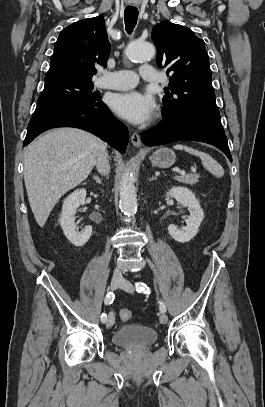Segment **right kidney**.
Instances as JSON below:
<instances>
[{
  "label": "right kidney",
  "instance_id": "right-kidney-1",
  "mask_svg": "<svg viewBox=\"0 0 265 407\" xmlns=\"http://www.w3.org/2000/svg\"><path fill=\"white\" fill-rule=\"evenodd\" d=\"M86 190L77 189L71 193L63 203L59 218L61 228L66 238L75 246L80 247L87 243L92 235V227L87 226L82 233L76 231L75 214L77 208L85 203Z\"/></svg>",
  "mask_w": 265,
  "mask_h": 407
}]
</instances>
